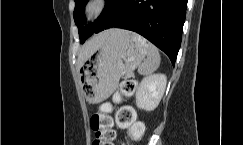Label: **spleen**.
Here are the masks:
<instances>
[{"label":"spleen","instance_id":"1","mask_svg":"<svg viewBox=\"0 0 243 145\" xmlns=\"http://www.w3.org/2000/svg\"><path fill=\"white\" fill-rule=\"evenodd\" d=\"M141 42L145 45L147 50V58L138 67V73L140 75H150L156 71L160 65V54L158 49L148 43L145 39H141Z\"/></svg>","mask_w":243,"mask_h":145}]
</instances>
